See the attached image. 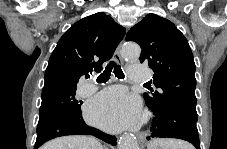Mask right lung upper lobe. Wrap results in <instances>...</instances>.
I'll list each match as a JSON object with an SVG mask.
<instances>
[{"instance_id":"1","label":"right lung upper lobe","mask_w":227,"mask_h":149,"mask_svg":"<svg viewBox=\"0 0 227 149\" xmlns=\"http://www.w3.org/2000/svg\"><path fill=\"white\" fill-rule=\"evenodd\" d=\"M125 35V29L103 12L74 23L60 38L45 71L44 87L75 85L93 68L102 69Z\"/></svg>"}]
</instances>
